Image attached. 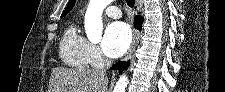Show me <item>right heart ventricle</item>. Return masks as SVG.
Instances as JSON below:
<instances>
[{
	"label": "right heart ventricle",
	"mask_w": 225,
	"mask_h": 92,
	"mask_svg": "<svg viewBox=\"0 0 225 92\" xmlns=\"http://www.w3.org/2000/svg\"><path fill=\"white\" fill-rule=\"evenodd\" d=\"M89 42L78 32L76 24H70L64 31L59 53L62 61L75 68L87 65Z\"/></svg>",
	"instance_id": "right-heart-ventricle-1"
}]
</instances>
